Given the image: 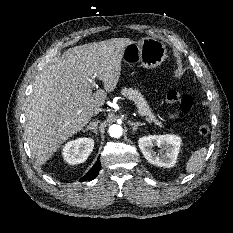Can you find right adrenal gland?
<instances>
[{
    "mask_svg": "<svg viewBox=\"0 0 233 233\" xmlns=\"http://www.w3.org/2000/svg\"><path fill=\"white\" fill-rule=\"evenodd\" d=\"M98 123H99V121L91 122V123L89 124V126H87V128L83 129L82 131H83V132H86V131H88V130H93V132H94L95 134H97V125H98Z\"/></svg>",
    "mask_w": 233,
    "mask_h": 233,
    "instance_id": "right-adrenal-gland-1",
    "label": "right adrenal gland"
}]
</instances>
